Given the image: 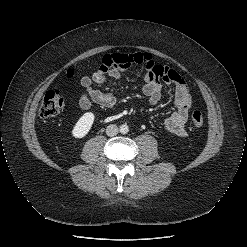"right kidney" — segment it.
Wrapping results in <instances>:
<instances>
[{
	"label": "right kidney",
	"instance_id": "obj_1",
	"mask_svg": "<svg viewBox=\"0 0 247 247\" xmlns=\"http://www.w3.org/2000/svg\"><path fill=\"white\" fill-rule=\"evenodd\" d=\"M94 119H95L94 113L92 112L84 113L73 127L72 136L75 138L85 137L90 131Z\"/></svg>",
	"mask_w": 247,
	"mask_h": 247
}]
</instances>
